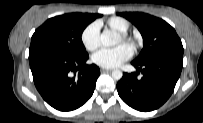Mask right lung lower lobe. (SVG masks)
<instances>
[{
    "label": "right lung lower lobe",
    "mask_w": 203,
    "mask_h": 123,
    "mask_svg": "<svg viewBox=\"0 0 203 123\" xmlns=\"http://www.w3.org/2000/svg\"><path fill=\"white\" fill-rule=\"evenodd\" d=\"M88 54L71 57L41 49L29 50L34 84L43 99L60 111L81 107L92 96L99 68L85 65Z\"/></svg>",
    "instance_id": "1"
}]
</instances>
